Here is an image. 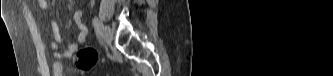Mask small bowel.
<instances>
[{"mask_svg": "<svg viewBox=\"0 0 333 76\" xmlns=\"http://www.w3.org/2000/svg\"><path fill=\"white\" fill-rule=\"evenodd\" d=\"M37 5L42 10H49L50 3L47 0H37ZM82 10H76L73 14V19L79 30V33L74 41L64 44L61 36V31L58 23L55 20H51V29L53 34V41L51 42V49L53 56L58 59H68L74 55L81 45L86 42L88 35V28L82 21ZM53 73L55 76H63V65L61 63L53 64Z\"/></svg>", "mask_w": 333, "mask_h": 76, "instance_id": "obj_1", "label": "small bowel"}]
</instances>
